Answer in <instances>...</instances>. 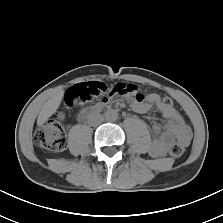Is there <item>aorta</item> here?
Returning a JSON list of instances; mask_svg holds the SVG:
<instances>
[{
    "label": "aorta",
    "mask_w": 223,
    "mask_h": 223,
    "mask_svg": "<svg viewBox=\"0 0 223 223\" xmlns=\"http://www.w3.org/2000/svg\"><path fill=\"white\" fill-rule=\"evenodd\" d=\"M105 118L109 122H114L118 119V112L113 109L107 110L105 112Z\"/></svg>",
    "instance_id": "aorta-1"
}]
</instances>
